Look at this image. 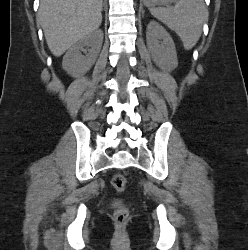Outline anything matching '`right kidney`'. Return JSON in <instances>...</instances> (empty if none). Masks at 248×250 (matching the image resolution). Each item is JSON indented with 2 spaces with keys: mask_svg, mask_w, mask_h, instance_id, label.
<instances>
[{
  "mask_svg": "<svg viewBox=\"0 0 248 250\" xmlns=\"http://www.w3.org/2000/svg\"><path fill=\"white\" fill-rule=\"evenodd\" d=\"M103 42V32L96 30L80 39L72 45L63 57L62 67L72 77H78L80 74L87 72L95 63L101 50ZM88 53H86V48ZM85 52L86 55H82Z\"/></svg>",
  "mask_w": 248,
  "mask_h": 250,
  "instance_id": "ca27d5eb",
  "label": "right kidney"
}]
</instances>
